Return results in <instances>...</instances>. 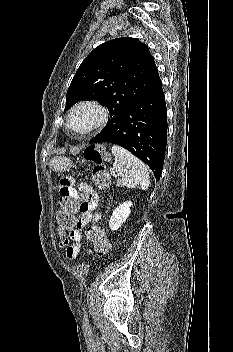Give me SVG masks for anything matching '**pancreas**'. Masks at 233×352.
Here are the masks:
<instances>
[{"instance_id":"cf45deb5","label":"pancreas","mask_w":233,"mask_h":352,"mask_svg":"<svg viewBox=\"0 0 233 352\" xmlns=\"http://www.w3.org/2000/svg\"><path fill=\"white\" fill-rule=\"evenodd\" d=\"M116 185H117V186H120V185H121V182L118 180Z\"/></svg>"}]
</instances>
